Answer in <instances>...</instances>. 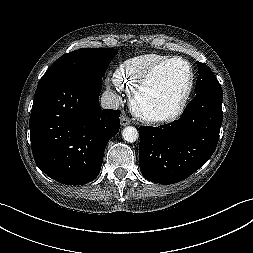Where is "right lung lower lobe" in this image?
Segmentation results:
<instances>
[{
    "label": "right lung lower lobe",
    "mask_w": 253,
    "mask_h": 253,
    "mask_svg": "<svg viewBox=\"0 0 253 253\" xmlns=\"http://www.w3.org/2000/svg\"><path fill=\"white\" fill-rule=\"evenodd\" d=\"M102 80L60 76L40 82L30 115V139L37 166L66 185L94 180L105 147L120 127L119 110H101Z\"/></svg>",
    "instance_id": "98d812e1"
}]
</instances>
